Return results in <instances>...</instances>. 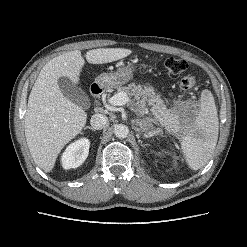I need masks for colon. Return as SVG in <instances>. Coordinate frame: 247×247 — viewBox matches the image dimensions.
I'll return each instance as SVG.
<instances>
[{
  "instance_id": "colon-1",
  "label": "colon",
  "mask_w": 247,
  "mask_h": 247,
  "mask_svg": "<svg viewBox=\"0 0 247 247\" xmlns=\"http://www.w3.org/2000/svg\"><path fill=\"white\" fill-rule=\"evenodd\" d=\"M164 67L171 78H177L187 69L188 65L182 59L168 58L164 62ZM196 83L197 78L194 75L186 74L180 80V87L183 90H190Z\"/></svg>"
}]
</instances>
